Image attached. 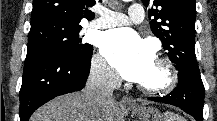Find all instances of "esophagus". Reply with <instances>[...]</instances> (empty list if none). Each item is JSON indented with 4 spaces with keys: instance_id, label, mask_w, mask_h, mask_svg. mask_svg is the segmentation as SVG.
Returning <instances> with one entry per match:
<instances>
[{
    "instance_id": "1",
    "label": "esophagus",
    "mask_w": 217,
    "mask_h": 121,
    "mask_svg": "<svg viewBox=\"0 0 217 121\" xmlns=\"http://www.w3.org/2000/svg\"><path fill=\"white\" fill-rule=\"evenodd\" d=\"M122 102L128 106H134L135 105V101L127 95L122 97Z\"/></svg>"
}]
</instances>
